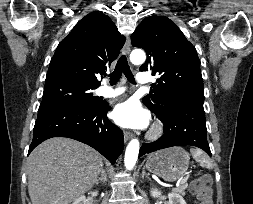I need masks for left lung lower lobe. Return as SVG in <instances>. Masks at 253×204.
<instances>
[{
	"label": "left lung lower lobe",
	"mask_w": 253,
	"mask_h": 204,
	"mask_svg": "<svg viewBox=\"0 0 253 204\" xmlns=\"http://www.w3.org/2000/svg\"><path fill=\"white\" fill-rule=\"evenodd\" d=\"M158 118L164 124V135L153 143L142 144L139 157L146 153L179 145L199 147L211 156L206 136L203 102L177 106L165 116H158Z\"/></svg>",
	"instance_id": "obj_1"
}]
</instances>
